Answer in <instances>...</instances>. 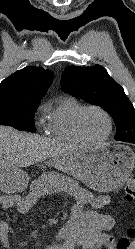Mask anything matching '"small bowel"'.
<instances>
[{
  "mask_svg": "<svg viewBox=\"0 0 135 249\" xmlns=\"http://www.w3.org/2000/svg\"><path fill=\"white\" fill-rule=\"evenodd\" d=\"M110 202L108 196H98L93 200L95 209H102ZM0 206L4 210L15 208L18 213L24 214L27 212V203L17 195H5L0 197ZM85 237L86 243L91 245L90 249L96 247H105L106 249H115L114 239L110 235L115 224V218L112 214L97 211L85 212ZM14 238L12 227L5 221L0 222V241L5 249L11 245V240ZM46 249H57L56 246H50Z\"/></svg>",
  "mask_w": 135,
  "mask_h": 249,
  "instance_id": "obj_1",
  "label": "small bowel"
}]
</instances>
